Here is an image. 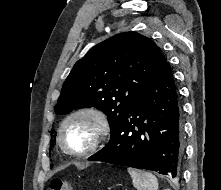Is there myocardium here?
I'll use <instances>...</instances> for the list:
<instances>
[{"instance_id": "f54148a6", "label": "myocardium", "mask_w": 221, "mask_h": 190, "mask_svg": "<svg viewBox=\"0 0 221 190\" xmlns=\"http://www.w3.org/2000/svg\"><path fill=\"white\" fill-rule=\"evenodd\" d=\"M78 116L90 117L95 122L96 125V132L92 143L86 149L80 151L68 148L63 140V132L67 123L73 118ZM109 133H110V122L105 112L97 107L83 106L74 109L63 118L59 126L58 141L61 149L64 152L72 156L83 157L95 152L98 148H100L106 141Z\"/></svg>"}]
</instances>
